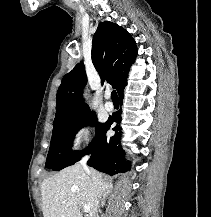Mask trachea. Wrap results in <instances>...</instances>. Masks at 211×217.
<instances>
[{
    "label": "trachea",
    "instance_id": "3493384b",
    "mask_svg": "<svg viewBox=\"0 0 211 217\" xmlns=\"http://www.w3.org/2000/svg\"><path fill=\"white\" fill-rule=\"evenodd\" d=\"M111 98H112L113 102H118L119 101L117 92L115 90L112 91Z\"/></svg>",
    "mask_w": 211,
    "mask_h": 217
}]
</instances>
